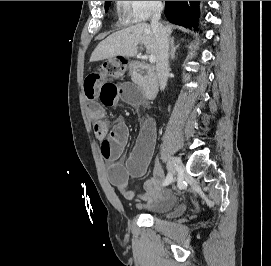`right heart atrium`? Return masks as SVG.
Wrapping results in <instances>:
<instances>
[{
  "label": "right heart atrium",
  "instance_id": "right-heart-atrium-1",
  "mask_svg": "<svg viewBox=\"0 0 271 266\" xmlns=\"http://www.w3.org/2000/svg\"><path fill=\"white\" fill-rule=\"evenodd\" d=\"M126 21L131 24L146 22L162 8L161 1H119Z\"/></svg>",
  "mask_w": 271,
  "mask_h": 266
}]
</instances>
